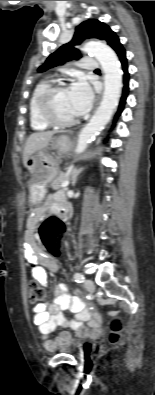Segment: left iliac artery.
<instances>
[{
	"label": "left iliac artery",
	"mask_w": 155,
	"mask_h": 395,
	"mask_svg": "<svg viewBox=\"0 0 155 395\" xmlns=\"http://www.w3.org/2000/svg\"><path fill=\"white\" fill-rule=\"evenodd\" d=\"M74 279L77 283H82L84 282V276L81 273H75L74 274Z\"/></svg>",
	"instance_id": "44dca946"
}]
</instances>
